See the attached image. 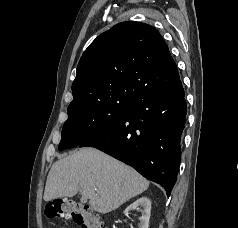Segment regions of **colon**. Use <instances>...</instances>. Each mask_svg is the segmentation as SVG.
Masks as SVG:
<instances>
[{"instance_id": "obj_1", "label": "colon", "mask_w": 238, "mask_h": 228, "mask_svg": "<svg viewBox=\"0 0 238 228\" xmlns=\"http://www.w3.org/2000/svg\"><path fill=\"white\" fill-rule=\"evenodd\" d=\"M45 211L49 218L71 219L80 228H105L99 215L70 198L52 202Z\"/></svg>"}]
</instances>
